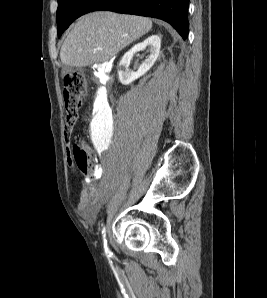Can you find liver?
Here are the masks:
<instances>
[{
  "mask_svg": "<svg viewBox=\"0 0 267 298\" xmlns=\"http://www.w3.org/2000/svg\"><path fill=\"white\" fill-rule=\"evenodd\" d=\"M151 28L152 21L141 16L110 11L89 13L79 18L65 39L61 62L65 66L85 67L108 61Z\"/></svg>",
  "mask_w": 267,
  "mask_h": 298,
  "instance_id": "obj_1",
  "label": "liver"
}]
</instances>
